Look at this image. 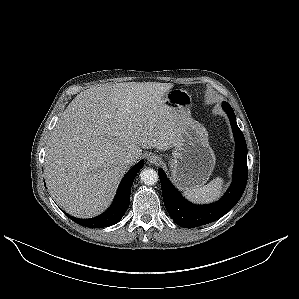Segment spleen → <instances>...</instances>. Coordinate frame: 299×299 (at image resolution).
<instances>
[{
    "instance_id": "spleen-1",
    "label": "spleen",
    "mask_w": 299,
    "mask_h": 299,
    "mask_svg": "<svg viewBox=\"0 0 299 299\" xmlns=\"http://www.w3.org/2000/svg\"><path fill=\"white\" fill-rule=\"evenodd\" d=\"M223 189V179L217 177L210 181L207 185L186 189L184 196L196 203H211L217 200Z\"/></svg>"
}]
</instances>
